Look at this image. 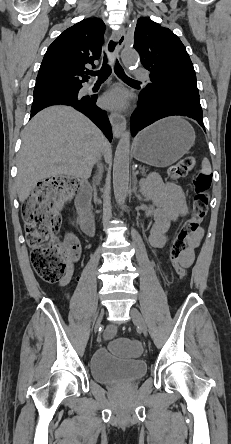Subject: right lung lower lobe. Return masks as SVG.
Returning a JSON list of instances; mask_svg holds the SVG:
<instances>
[{"mask_svg":"<svg viewBox=\"0 0 231 444\" xmlns=\"http://www.w3.org/2000/svg\"><path fill=\"white\" fill-rule=\"evenodd\" d=\"M96 99V95L82 97L79 96L78 93H68L63 91L34 94V100L31 107V117L40 110L51 105L63 104L72 106L89 117L90 120H92L103 131L109 141H111V125L108 121L106 112L95 105Z\"/></svg>","mask_w":231,"mask_h":444,"instance_id":"right-lung-lower-lobe-1","label":"right lung lower lobe"}]
</instances>
